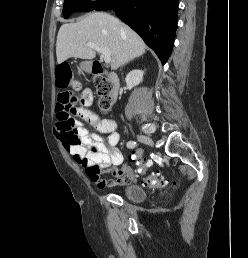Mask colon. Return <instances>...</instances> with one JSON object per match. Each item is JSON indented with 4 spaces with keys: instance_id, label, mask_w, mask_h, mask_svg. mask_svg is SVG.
<instances>
[{
    "instance_id": "obj_1",
    "label": "colon",
    "mask_w": 248,
    "mask_h": 258,
    "mask_svg": "<svg viewBox=\"0 0 248 258\" xmlns=\"http://www.w3.org/2000/svg\"><path fill=\"white\" fill-rule=\"evenodd\" d=\"M59 74H58V85L62 88H65L69 85L70 82V70L64 65L60 64L58 66ZM94 86L96 88L99 100L98 106L103 112H107L110 110L113 100H112V84L108 78L103 75L95 76L93 79ZM81 88V85L77 81H73L71 83V89L65 91L61 94V97L57 103L56 111L58 118V125L61 127L62 131L65 133L67 138L73 142H78V136L74 128V120L72 118V114L74 112V106L77 104V95ZM142 148H137L136 151H132L129 159L132 165L131 172L134 175H141L142 183L149 188H160L164 187L166 184L165 179L161 176L159 172H153L150 174H143V171L148 170V164L143 163V152ZM97 149L92 146V153H96ZM87 174L94 180L99 179L98 176V168L96 165H92L86 168Z\"/></svg>"
}]
</instances>
